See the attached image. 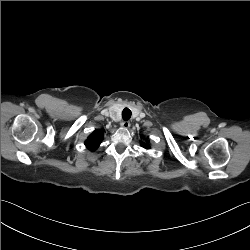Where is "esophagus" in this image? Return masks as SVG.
Here are the masks:
<instances>
[{
  "label": "esophagus",
  "mask_w": 250,
  "mask_h": 250,
  "mask_svg": "<svg viewBox=\"0 0 250 250\" xmlns=\"http://www.w3.org/2000/svg\"><path fill=\"white\" fill-rule=\"evenodd\" d=\"M120 125L123 128H129L130 127V122L129 121H122Z\"/></svg>",
  "instance_id": "34e87169"
}]
</instances>
